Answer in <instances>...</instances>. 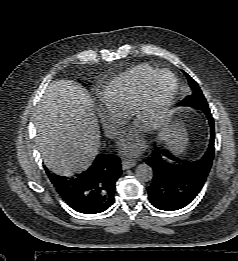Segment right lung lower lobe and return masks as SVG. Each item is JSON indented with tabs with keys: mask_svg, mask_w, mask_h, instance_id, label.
<instances>
[{
	"mask_svg": "<svg viewBox=\"0 0 238 261\" xmlns=\"http://www.w3.org/2000/svg\"><path fill=\"white\" fill-rule=\"evenodd\" d=\"M49 179L63 200L75 211L96 214L114 203L116 181L121 175L120 159L115 155H98L83 173L72 176L51 174Z\"/></svg>",
	"mask_w": 238,
	"mask_h": 261,
	"instance_id": "1",
	"label": "right lung lower lobe"
}]
</instances>
